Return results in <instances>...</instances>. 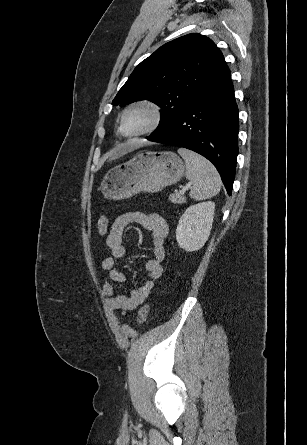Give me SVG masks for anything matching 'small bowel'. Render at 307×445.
Returning <instances> with one entry per match:
<instances>
[{
    "mask_svg": "<svg viewBox=\"0 0 307 445\" xmlns=\"http://www.w3.org/2000/svg\"><path fill=\"white\" fill-rule=\"evenodd\" d=\"M132 223L141 225L151 233L153 257L145 263V270L148 273L147 281L143 286L131 291L129 295L117 293L109 281L103 283L102 293L107 297V306L112 311H121L122 313L136 309L147 299L156 282L162 276L163 261L166 255L164 244L168 234V225L160 214L141 211L121 214L114 220L105 240V246L110 256L103 260L102 269L108 273L111 282L123 283L126 280L124 273L117 268L116 264L126 253L124 232Z\"/></svg>",
    "mask_w": 307,
    "mask_h": 445,
    "instance_id": "1",
    "label": "small bowel"
}]
</instances>
